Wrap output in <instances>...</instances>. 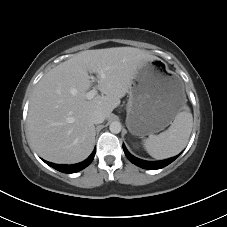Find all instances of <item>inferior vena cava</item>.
I'll return each mask as SVG.
<instances>
[{
	"label": "inferior vena cava",
	"instance_id": "inferior-vena-cava-1",
	"mask_svg": "<svg viewBox=\"0 0 227 227\" xmlns=\"http://www.w3.org/2000/svg\"><path fill=\"white\" fill-rule=\"evenodd\" d=\"M105 120L104 113L100 110H95L91 115V121L94 124H100Z\"/></svg>",
	"mask_w": 227,
	"mask_h": 227
}]
</instances>
